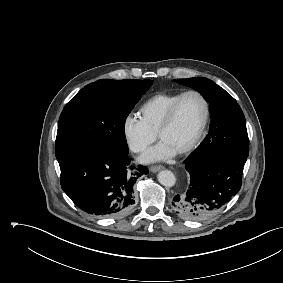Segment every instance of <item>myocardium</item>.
Wrapping results in <instances>:
<instances>
[{
	"label": "myocardium",
	"mask_w": 283,
	"mask_h": 283,
	"mask_svg": "<svg viewBox=\"0 0 283 283\" xmlns=\"http://www.w3.org/2000/svg\"><path fill=\"white\" fill-rule=\"evenodd\" d=\"M190 95H195L197 97H199L203 103L204 106V115H203V120L202 123L200 125V128L196 134V136L194 137V139L192 140V142L186 146L185 148H183L181 151H179L178 153L183 155V154H187L191 151H193L201 142L203 135L207 129L208 123H209V119H210V104L208 99L206 98V96L198 91V90H188L183 92L176 100L175 102L171 105V107L169 108L165 119L163 121V123L161 124L158 132H157V136L159 139H161L163 133L165 131H167L173 124L178 108L181 104V102Z\"/></svg>",
	"instance_id": "myocardium-1"
}]
</instances>
